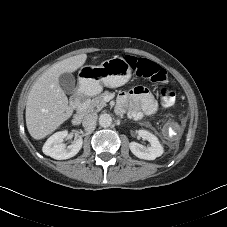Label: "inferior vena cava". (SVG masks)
Segmentation results:
<instances>
[{
  "label": "inferior vena cava",
  "mask_w": 227,
  "mask_h": 227,
  "mask_svg": "<svg viewBox=\"0 0 227 227\" xmlns=\"http://www.w3.org/2000/svg\"><path fill=\"white\" fill-rule=\"evenodd\" d=\"M97 118L98 116L96 113L87 114L83 119L82 125L87 129H92L96 125Z\"/></svg>",
  "instance_id": "inferior-vena-cava-1"
}]
</instances>
